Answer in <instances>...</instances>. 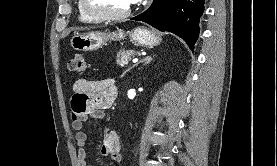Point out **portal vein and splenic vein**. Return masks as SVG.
<instances>
[{
	"instance_id": "1",
	"label": "portal vein and splenic vein",
	"mask_w": 277,
	"mask_h": 166,
	"mask_svg": "<svg viewBox=\"0 0 277 166\" xmlns=\"http://www.w3.org/2000/svg\"><path fill=\"white\" fill-rule=\"evenodd\" d=\"M132 62H133V63L138 62V58H134V59L132 60Z\"/></svg>"
}]
</instances>
